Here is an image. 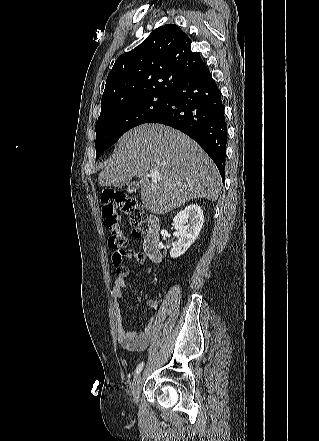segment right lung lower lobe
<instances>
[{"mask_svg": "<svg viewBox=\"0 0 319 441\" xmlns=\"http://www.w3.org/2000/svg\"><path fill=\"white\" fill-rule=\"evenodd\" d=\"M149 123H162L189 135L213 159L224 179L227 144L224 106L206 65L177 86L167 106Z\"/></svg>", "mask_w": 319, "mask_h": 441, "instance_id": "obj_1", "label": "right lung lower lobe"}]
</instances>
